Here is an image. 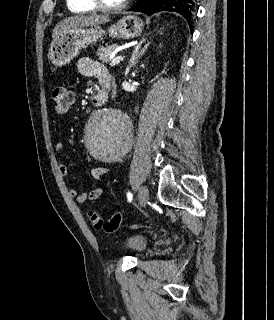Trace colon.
Wrapping results in <instances>:
<instances>
[{
    "label": "colon",
    "instance_id": "colon-1",
    "mask_svg": "<svg viewBox=\"0 0 274 320\" xmlns=\"http://www.w3.org/2000/svg\"><path fill=\"white\" fill-rule=\"evenodd\" d=\"M51 100L54 104L56 113L64 114L67 112L70 105L73 103V96L71 91L67 90L63 86H56L51 90ZM91 221L94 227L104 233H114L120 226L122 221V213L115 212L109 220H104L97 213L92 212L90 214Z\"/></svg>",
    "mask_w": 274,
    "mask_h": 320
}]
</instances>
